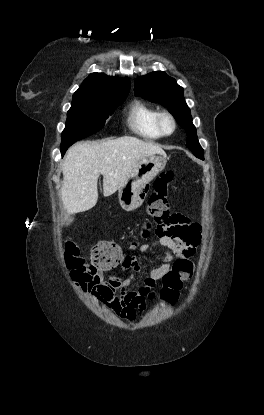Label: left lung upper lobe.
<instances>
[{
	"mask_svg": "<svg viewBox=\"0 0 264 415\" xmlns=\"http://www.w3.org/2000/svg\"><path fill=\"white\" fill-rule=\"evenodd\" d=\"M134 93L136 96L167 107L179 125L187 132L186 146L195 156L203 155V149L197 139L196 128L192 123L190 109L184 100L183 88L176 83L175 79L163 71L149 73L136 80Z\"/></svg>",
	"mask_w": 264,
	"mask_h": 415,
	"instance_id": "1",
	"label": "left lung upper lobe"
}]
</instances>
